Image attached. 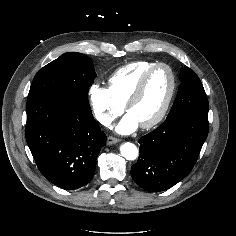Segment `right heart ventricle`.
I'll return each mask as SVG.
<instances>
[{"instance_id":"right-heart-ventricle-1","label":"right heart ventricle","mask_w":236,"mask_h":236,"mask_svg":"<svg viewBox=\"0 0 236 236\" xmlns=\"http://www.w3.org/2000/svg\"><path fill=\"white\" fill-rule=\"evenodd\" d=\"M154 64L152 61H136L117 69L108 79V88L114 98L125 105L144 72Z\"/></svg>"}]
</instances>
